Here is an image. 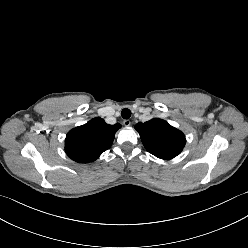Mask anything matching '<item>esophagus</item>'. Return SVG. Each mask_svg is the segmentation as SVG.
I'll return each instance as SVG.
<instances>
[{"label":"esophagus","mask_w":248,"mask_h":248,"mask_svg":"<svg viewBox=\"0 0 248 248\" xmlns=\"http://www.w3.org/2000/svg\"><path fill=\"white\" fill-rule=\"evenodd\" d=\"M123 125H124L125 127H129V126H131V121L128 120V119H126V120L123 121Z\"/></svg>","instance_id":"34e87169"}]
</instances>
